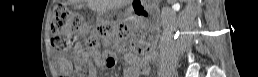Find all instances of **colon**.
I'll return each instance as SVG.
<instances>
[{"mask_svg":"<svg viewBox=\"0 0 258 77\" xmlns=\"http://www.w3.org/2000/svg\"><path fill=\"white\" fill-rule=\"evenodd\" d=\"M89 30V26L78 14L71 12L64 6L55 8L51 33L61 49L73 50L83 45L94 48L100 42L107 41L113 31L110 27L104 25L98 26L93 35H89ZM114 32L119 40H125L130 35V31L125 25H118ZM149 35L147 31L140 32L138 38L134 41V46L142 50L147 49Z\"/></svg>","mask_w":258,"mask_h":77,"instance_id":"1","label":"colon"}]
</instances>
